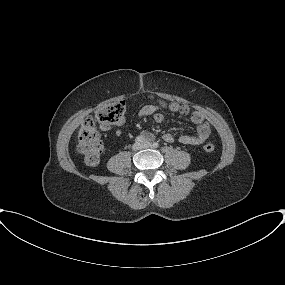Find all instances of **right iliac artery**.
Returning <instances> with one entry per match:
<instances>
[{"mask_svg":"<svg viewBox=\"0 0 285 285\" xmlns=\"http://www.w3.org/2000/svg\"><path fill=\"white\" fill-rule=\"evenodd\" d=\"M143 138L141 137V136H138L136 139H135V142L136 143H141V142H143Z\"/></svg>","mask_w":285,"mask_h":285,"instance_id":"1","label":"right iliac artery"}]
</instances>
